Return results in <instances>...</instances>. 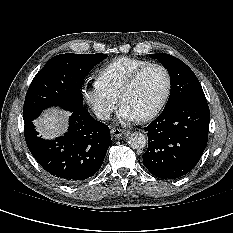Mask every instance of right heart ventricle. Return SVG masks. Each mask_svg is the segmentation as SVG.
I'll list each match as a JSON object with an SVG mask.
<instances>
[{
	"label": "right heart ventricle",
	"mask_w": 233,
	"mask_h": 233,
	"mask_svg": "<svg viewBox=\"0 0 233 233\" xmlns=\"http://www.w3.org/2000/svg\"><path fill=\"white\" fill-rule=\"evenodd\" d=\"M148 63L150 62L144 59L120 57L103 66L99 71L98 79L110 93L119 97L130 76Z\"/></svg>",
	"instance_id": "e07e8e85"
}]
</instances>
